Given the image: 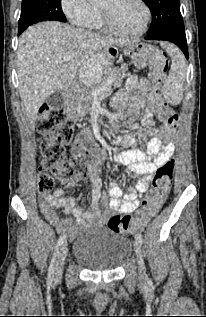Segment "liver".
<instances>
[{
	"mask_svg": "<svg viewBox=\"0 0 206 317\" xmlns=\"http://www.w3.org/2000/svg\"><path fill=\"white\" fill-rule=\"evenodd\" d=\"M131 43L134 42L55 21L29 27L19 38L17 73L20 98L30 123H34L39 108L51 94L69 90L81 65L98 59L103 48L126 47ZM67 52L76 55L60 62Z\"/></svg>",
	"mask_w": 206,
	"mask_h": 317,
	"instance_id": "liver-1",
	"label": "liver"
}]
</instances>
